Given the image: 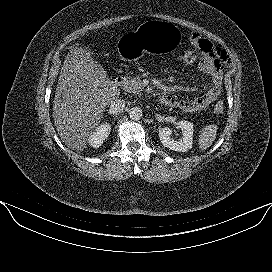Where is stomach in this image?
<instances>
[{
    "label": "stomach",
    "mask_w": 272,
    "mask_h": 272,
    "mask_svg": "<svg viewBox=\"0 0 272 272\" xmlns=\"http://www.w3.org/2000/svg\"><path fill=\"white\" fill-rule=\"evenodd\" d=\"M182 40L178 26L163 20L145 21L136 31L123 34L117 43L124 61H136L145 53L155 54L176 49Z\"/></svg>",
    "instance_id": "obj_1"
}]
</instances>
